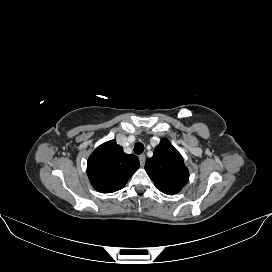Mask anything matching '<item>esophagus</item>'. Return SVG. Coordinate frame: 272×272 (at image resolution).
<instances>
[{"label": "esophagus", "instance_id": "1", "mask_svg": "<svg viewBox=\"0 0 272 272\" xmlns=\"http://www.w3.org/2000/svg\"><path fill=\"white\" fill-rule=\"evenodd\" d=\"M145 160H146V156L144 154L139 156V161H140L141 166H144Z\"/></svg>", "mask_w": 272, "mask_h": 272}]
</instances>
